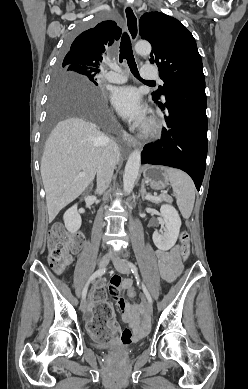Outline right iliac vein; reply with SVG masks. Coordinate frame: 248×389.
I'll list each match as a JSON object with an SVG mask.
<instances>
[{"mask_svg": "<svg viewBox=\"0 0 248 389\" xmlns=\"http://www.w3.org/2000/svg\"><path fill=\"white\" fill-rule=\"evenodd\" d=\"M109 260H110V256L109 255H104L101 259H100V262H99V266L101 268H104L108 265L109 263ZM80 308L82 310V312H86L87 311V302H86V299H82L81 300V304H80Z\"/></svg>", "mask_w": 248, "mask_h": 389, "instance_id": "right-iliac-vein-1", "label": "right iliac vein"}]
</instances>
